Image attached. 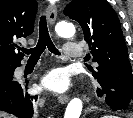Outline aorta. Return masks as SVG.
I'll use <instances>...</instances> for the list:
<instances>
[{"mask_svg":"<svg viewBox=\"0 0 133 118\" xmlns=\"http://www.w3.org/2000/svg\"><path fill=\"white\" fill-rule=\"evenodd\" d=\"M56 33L63 38H70L75 34V27L69 22H60L56 25ZM83 103L79 98H73L67 105L64 118H80Z\"/></svg>","mask_w":133,"mask_h":118,"instance_id":"762f6f07","label":"aorta"}]
</instances>
